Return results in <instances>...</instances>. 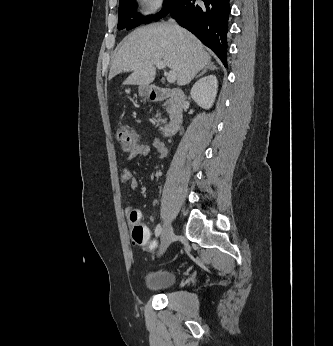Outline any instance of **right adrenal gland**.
I'll return each instance as SVG.
<instances>
[{
	"instance_id": "right-adrenal-gland-1",
	"label": "right adrenal gland",
	"mask_w": 333,
	"mask_h": 346,
	"mask_svg": "<svg viewBox=\"0 0 333 346\" xmlns=\"http://www.w3.org/2000/svg\"><path fill=\"white\" fill-rule=\"evenodd\" d=\"M215 69H216V67L214 66V64L210 63L198 75H196L195 77H200L204 73H206L208 70H215Z\"/></svg>"
}]
</instances>
